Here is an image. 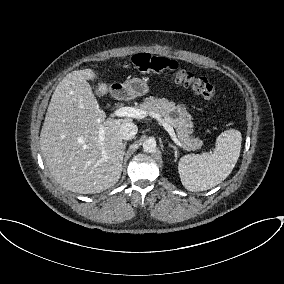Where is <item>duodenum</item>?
<instances>
[{"mask_svg":"<svg viewBox=\"0 0 284 284\" xmlns=\"http://www.w3.org/2000/svg\"><path fill=\"white\" fill-rule=\"evenodd\" d=\"M113 94H114L115 96L121 97V96L124 94V91H123L122 89L115 90V91L113 92Z\"/></svg>","mask_w":284,"mask_h":284,"instance_id":"obj_1","label":"duodenum"}]
</instances>
